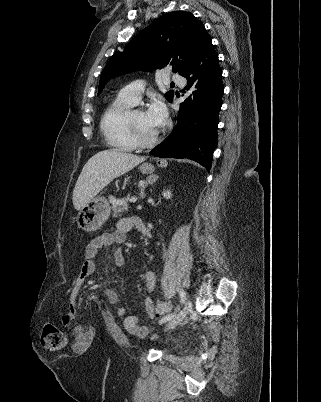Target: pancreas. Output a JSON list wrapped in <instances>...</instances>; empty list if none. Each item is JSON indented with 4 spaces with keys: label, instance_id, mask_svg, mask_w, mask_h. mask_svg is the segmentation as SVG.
<instances>
[{
    "label": "pancreas",
    "instance_id": "cf45deb5",
    "mask_svg": "<svg viewBox=\"0 0 321 402\" xmlns=\"http://www.w3.org/2000/svg\"><path fill=\"white\" fill-rule=\"evenodd\" d=\"M128 200H129V198H124V199L110 198L114 218H118L124 212L128 211V208H129Z\"/></svg>",
    "mask_w": 321,
    "mask_h": 402
}]
</instances>
